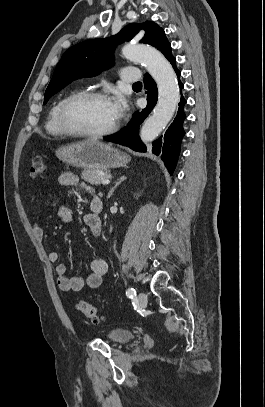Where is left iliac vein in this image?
Wrapping results in <instances>:
<instances>
[{
	"mask_svg": "<svg viewBox=\"0 0 265 407\" xmlns=\"http://www.w3.org/2000/svg\"><path fill=\"white\" fill-rule=\"evenodd\" d=\"M137 303H138V305H139L140 307H145V306H146V304H147V296H146L145 293L140 292V293L137 295Z\"/></svg>",
	"mask_w": 265,
	"mask_h": 407,
	"instance_id": "4c4485c4",
	"label": "left iliac vein"
}]
</instances>
